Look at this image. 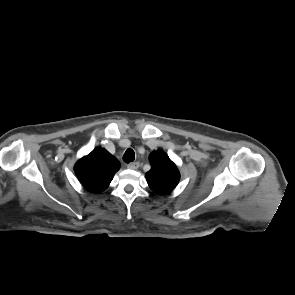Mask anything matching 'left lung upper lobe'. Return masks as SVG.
Returning a JSON list of instances; mask_svg holds the SVG:
<instances>
[{
  "mask_svg": "<svg viewBox=\"0 0 295 295\" xmlns=\"http://www.w3.org/2000/svg\"><path fill=\"white\" fill-rule=\"evenodd\" d=\"M151 169L146 180L151 190L159 195L171 192L180 180V173L174 162L162 151H153L149 156Z\"/></svg>",
  "mask_w": 295,
  "mask_h": 295,
  "instance_id": "obj_1",
  "label": "left lung upper lobe"
}]
</instances>
